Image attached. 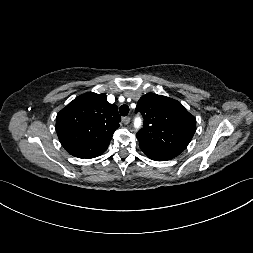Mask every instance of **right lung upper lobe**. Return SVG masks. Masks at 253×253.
<instances>
[{"instance_id": "obj_1", "label": "right lung upper lobe", "mask_w": 253, "mask_h": 253, "mask_svg": "<svg viewBox=\"0 0 253 253\" xmlns=\"http://www.w3.org/2000/svg\"><path fill=\"white\" fill-rule=\"evenodd\" d=\"M120 121L118 107L108 103L105 94L88 92L57 114L56 131L67 152L91 158L107 149Z\"/></svg>"}]
</instances>
